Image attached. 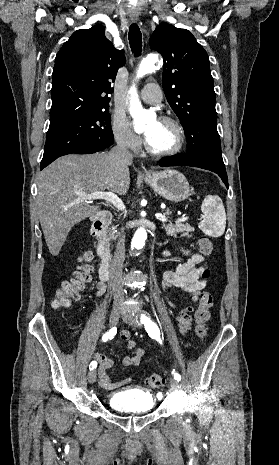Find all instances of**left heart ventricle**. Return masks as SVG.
Instances as JSON below:
<instances>
[{"label": "left heart ventricle", "instance_id": "1", "mask_svg": "<svg viewBox=\"0 0 279 465\" xmlns=\"http://www.w3.org/2000/svg\"><path fill=\"white\" fill-rule=\"evenodd\" d=\"M144 134L150 147L155 151L171 149L177 139L174 127L159 120L149 122L144 128Z\"/></svg>", "mask_w": 279, "mask_h": 465}]
</instances>
